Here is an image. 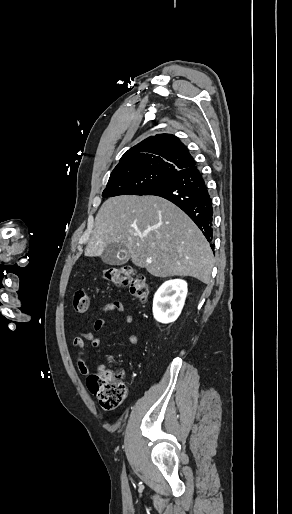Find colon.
Segmentation results:
<instances>
[{
    "label": "colon",
    "instance_id": "colon-1",
    "mask_svg": "<svg viewBox=\"0 0 292 514\" xmlns=\"http://www.w3.org/2000/svg\"><path fill=\"white\" fill-rule=\"evenodd\" d=\"M134 270L127 266H115L105 273L104 278L117 287L129 285L131 296L145 301L148 298V284L144 277L135 276ZM74 308L79 314H86L90 310L89 297L82 289L75 293ZM109 360L114 361V357L110 356ZM88 387L99 405L105 409L120 405L127 397V389L121 376L108 369L89 375Z\"/></svg>",
    "mask_w": 292,
    "mask_h": 514
}]
</instances>
